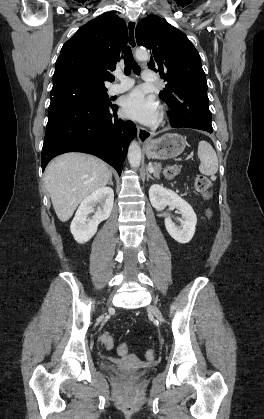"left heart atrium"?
<instances>
[{
    "mask_svg": "<svg viewBox=\"0 0 264 419\" xmlns=\"http://www.w3.org/2000/svg\"><path fill=\"white\" fill-rule=\"evenodd\" d=\"M124 114L145 124H153L158 119V107L155 99L141 89H134L123 100Z\"/></svg>",
    "mask_w": 264,
    "mask_h": 419,
    "instance_id": "39dd6f15",
    "label": "left heart atrium"
}]
</instances>
